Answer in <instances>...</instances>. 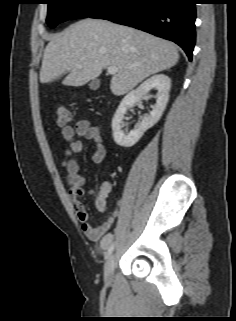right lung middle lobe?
Wrapping results in <instances>:
<instances>
[{
    "instance_id": "1",
    "label": "right lung middle lobe",
    "mask_w": 236,
    "mask_h": 321,
    "mask_svg": "<svg viewBox=\"0 0 236 321\" xmlns=\"http://www.w3.org/2000/svg\"><path fill=\"white\" fill-rule=\"evenodd\" d=\"M111 0H46L47 24L51 28L69 19L89 17L104 8Z\"/></svg>"
}]
</instances>
